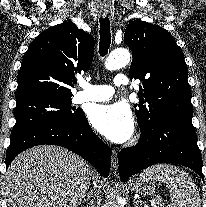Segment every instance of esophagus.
I'll return each mask as SVG.
<instances>
[{"label":"esophagus","instance_id":"1","mask_svg":"<svg viewBox=\"0 0 206 207\" xmlns=\"http://www.w3.org/2000/svg\"><path fill=\"white\" fill-rule=\"evenodd\" d=\"M101 16L105 17L108 14V11L101 10L100 11ZM111 166L114 172L118 170V153L115 149L111 152Z\"/></svg>","mask_w":206,"mask_h":207}]
</instances>
